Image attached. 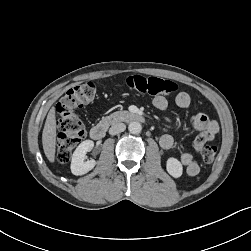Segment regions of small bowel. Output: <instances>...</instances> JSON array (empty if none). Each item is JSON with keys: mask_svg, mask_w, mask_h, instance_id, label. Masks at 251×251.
Returning a JSON list of instances; mask_svg holds the SVG:
<instances>
[{"mask_svg": "<svg viewBox=\"0 0 251 251\" xmlns=\"http://www.w3.org/2000/svg\"><path fill=\"white\" fill-rule=\"evenodd\" d=\"M175 102L180 108H187L190 105L191 98L187 92H179L175 98ZM153 106L161 111L168 108V100L164 96H156L153 101ZM191 126L199 132L194 141V149L198 153L201 151L205 143L212 141L217 132L218 124L209 119L203 113H197L191 118ZM160 146L163 149L169 150L174 146V139L171 135L165 134L160 138ZM181 164L185 167L186 173L189 176H195L199 172V164L195 157L189 152H182L179 156Z\"/></svg>", "mask_w": 251, "mask_h": 251, "instance_id": "c3829d8e", "label": "small bowel"}]
</instances>
